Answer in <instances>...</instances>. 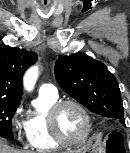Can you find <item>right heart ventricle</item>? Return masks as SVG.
<instances>
[{
	"label": "right heart ventricle",
	"instance_id": "1",
	"mask_svg": "<svg viewBox=\"0 0 130 153\" xmlns=\"http://www.w3.org/2000/svg\"><path fill=\"white\" fill-rule=\"evenodd\" d=\"M58 101V96L39 94L35 109L26 122V137L31 149L36 152H50L60 148L48 128V111Z\"/></svg>",
	"mask_w": 130,
	"mask_h": 153
}]
</instances>
